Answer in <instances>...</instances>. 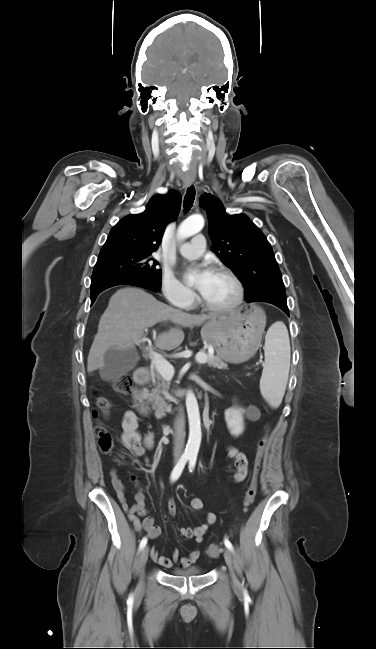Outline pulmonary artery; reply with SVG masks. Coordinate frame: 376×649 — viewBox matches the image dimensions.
Masks as SVG:
<instances>
[{"mask_svg": "<svg viewBox=\"0 0 376 649\" xmlns=\"http://www.w3.org/2000/svg\"><path fill=\"white\" fill-rule=\"evenodd\" d=\"M206 242L202 234H197L190 242L182 243L179 252L187 258H196L205 250Z\"/></svg>", "mask_w": 376, "mask_h": 649, "instance_id": "obj_1", "label": "pulmonary artery"}]
</instances>
